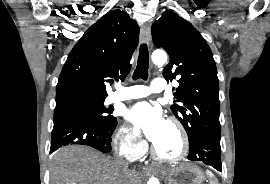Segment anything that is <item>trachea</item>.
Segmentation results:
<instances>
[{
	"instance_id": "obj_1",
	"label": "trachea",
	"mask_w": 270,
	"mask_h": 184,
	"mask_svg": "<svg viewBox=\"0 0 270 184\" xmlns=\"http://www.w3.org/2000/svg\"><path fill=\"white\" fill-rule=\"evenodd\" d=\"M148 66H149V52L146 44H141L139 49V56L137 61V67L133 74V79L148 78Z\"/></svg>"
}]
</instances>
